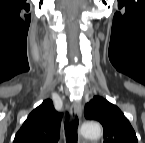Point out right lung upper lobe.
Here are the masks:
<instances>
[{
	"label": "right lung upper lobe",
	"mask_w": 145,
	"mask_h": 143,
	"mask_svg": "<svg viewBox=\"0 0 145 143\" xmlns=\"http://www.w3.org/2000/svg\"><path fill=\"white\" fill-rule=\"evenodd\" d=\"M62 113H58L50 99L34 109L17 132L14 143H56Z\"/></svg>",
	"instance_id": "1"
}]
</instances>
